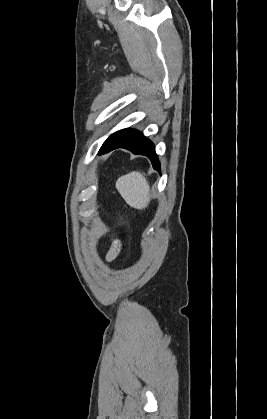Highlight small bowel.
Returning <instances> with one entry per match:
<instances>
[{"label": "small bowel", "mask_w": 267, "mask_h": 419, "mask_svg": "<svg viewBox=\"0 0 267 419\" xmlns=\"http://www.w3.org/2000/svg\"><path fill=\"white\" fill-rule=\"evenodd\" d=\"M120 252V243L119 242H115L112 247L110 248L108 254H107V260L108 261H112L113 259H115L117 257V255Z\"/></svg>", "instance_id": "1"}]
</instances>
